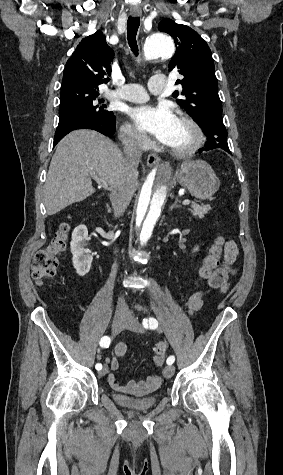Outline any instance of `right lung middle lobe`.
I'll use <instances>...</instances> for the list:
<instances>
[{
  "label": "right lung middle lobe",
  "mask_w": 283,
  "mask_h": 475,
  "mask_svg": "<svg viewBox=\"0 0 283 475\" xmlns=\"http://www.w3.org/2000/svg\"><path fill=\"white\" fill-rule=\"evenodd\" d=\"M99 93L65 92L61 93L59 116L72 112H83L97 120L113 119V112L105 110L104 106L96 104L103 100L97 99Z\"/></svg>",
  "instance_id": "right-lung-middle-lobe-1"
}]
</instances>
